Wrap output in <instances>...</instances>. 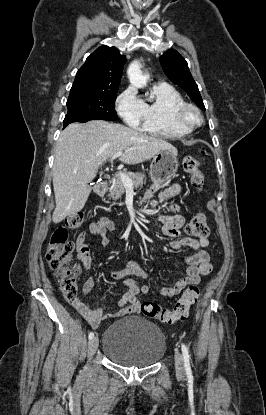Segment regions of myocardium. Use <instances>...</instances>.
<instances>
[{
  "label": "myocardium",
  "mask_w": 266,
  "mask_h": 415,
  "mask_svg": "<svg viewBox=\"0 0 266 415\" xmlns=\"http://www.w3.org/2000/svg\"><path fill=\"white\" fill-rule=\"evenodd\" d=\"M174 118L182 126L194 128L203 122V116L194 104L184 102L174 110Z\"/></svg>",
  "instance_id": "1"
}]
</instances>
